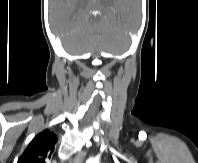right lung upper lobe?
Returning <instances> with one entry per match:
<instances>
[{
    "label": "right lung upper lobe",
    "mask_w": 198,
    "mask_h": 163,
    "mask_svg": "<svg viewBox=\"0 0 198 163\" xmlns=\"http://www.w3.org/2000/svg\"><path fill=\"white\" fill-rule=\"evenodd\" d=\"M57 137L46 129L36 135L29 143L17 163H46L54 151Z\"/></svg>",
    "instance_id": "right-lung-upper-lobe-1"
}]
</instances>
